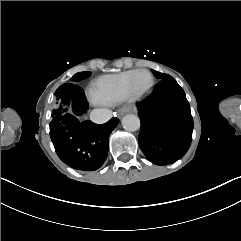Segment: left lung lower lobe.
<instances>
[{
	"mask_svg": "<svg viewBox=\"0 0 241 241\" xmlns=\"http://www.w3.org/2000/svg\"><path fill=\"white\" fill-rule=\"evenodd\" d=\"M136 105L141 120L139 146L147 159L156 165L180 159L190 146L193 130L182 87L171 76L161 79L153 93Z\"/></svg>",
	"mask_w": 241,
	"mask_h": 241,
	"instance_id": "left-lung-lower-lobe-1",
	"label": "left lung lower lobe"
}]
</instances>
